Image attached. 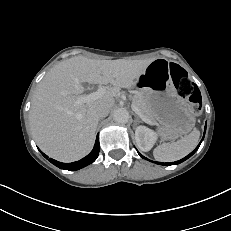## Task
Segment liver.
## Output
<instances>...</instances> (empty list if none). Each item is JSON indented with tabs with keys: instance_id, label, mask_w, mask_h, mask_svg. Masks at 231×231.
Here are the masks:
<instances>
[{
	"instance_id": "1",
	"label": "liver",
	"mask_w": 231,
	"mask_h": 231,
	"mask_svg": "<svg viewBox=\"0 0 231 231\" xmlns=\"http://www.w3.org/2000/svg\"><path fill=\"white\" fill-rule=\"evenodd\" d=\"M156 58L145 60H95L76 56L54 66L39 83L29 120L38 147L49 157L73 162L92 149L99 122L96 110L113 106L121 88H133L134 80ZM83 82L111 84L105 94L76 104Z\"/></svg>"
}]
</instances>
